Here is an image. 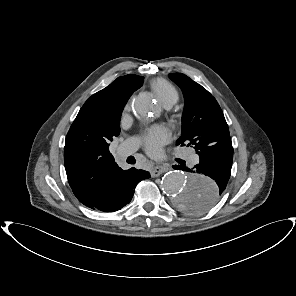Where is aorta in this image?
<instances>
[{
    "label": "aorta",
    "instance_id": "aorta-1",
    "mask_svg": "<svg viewBox=\"0 0 296 296\" xmlns=\"http://www.w3.org/2000/svg\"><path fill=\"white\" fill-rule=\"evenodd\" d=\"M133 109L140 117H148L155 105L150 96H139ZM162 189L170 201L186 213H204L217 201V184L211 178L192 172L169 171L162 179Z\"/></svg>",
    "mask_w": 296,
    "mask_h": 296
}]
</instances>
